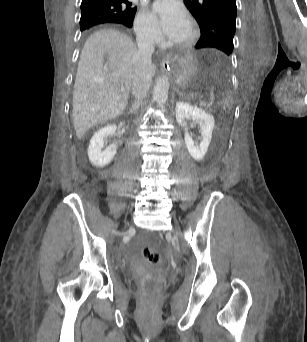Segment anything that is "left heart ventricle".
Segmentation results:
<instances>
[{
	"mask_svg": "<svg viewBox=\"0 0 307 342\" xmlns=\"http://www.w3.org/2000/svg\"><path fill=\"white\" fill-rule=\"evenodd\" d=\"M187 39V38H186ZM186 39L183 41V42H181L180 44L182 45V44H184V42L186 41Z\"/></svg>",
	"mask_w": 307,
	"mask_h": 342,
	"instance_id": "left-heart-ventricle-1",
	"label": "left heart ventricle"
}]
</instances>
